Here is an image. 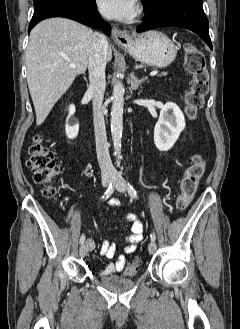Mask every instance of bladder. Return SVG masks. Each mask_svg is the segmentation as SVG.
I'll use <instances>...</instances> for the list:
<instances>
[{
	"mask_svg": "<svg viewBox=\"0 0 240 329\" xmlns=\"http://www.w3.org/2000/svg\"><path fill=\"white\" fill-rule=\"evenodd\" d=\"M135 279L120 275H112L100 279V284L112 291H119L133 286Z\"/></svg>",
	"mask_w": 240,
	"mask_h": 329,
	"instance_id": "obj_1",
	"label": "bladder"
}]
</instances>
